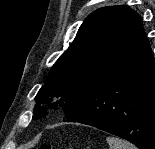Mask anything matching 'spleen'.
Returning <instances> with one entry per match:
<instances>
[{"label":"spleen","instance_id":"1","mask_svg":"<svg viewBox=\"0 0 155 149\" xmlns=\"http://www.w3.org/2000/svg\"><path fill=\"white\" fill-rule=\"evenodd\" d=\"M106 141L109 144L110 149H137L133 144L117 137H107Z\"/></svg>","mask_w":155,"mask_h":149}]
</instances>
